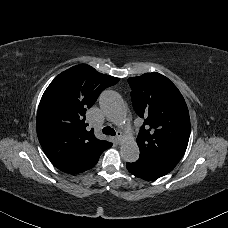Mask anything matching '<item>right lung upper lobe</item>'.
<instances>
[{
  "label": "right lung upper lobe",
  "instance_id": "right-lung-upper-lobe-1",
  "mask_svg": "<svg viewBox=\"0 0 228 228\" xmlns=\"http://www.w3.org/2000/svg\"><path fill=\"white\" fill-rule=\"evenodd\" d=\"M120 79L97 72L86 64L60 73L45 90L37 112V135L49 160L65 171L112 143L99 140L85 122L87 108L99 94Z\"/></svg>",
  "mask_w": 228,
  "mask_h": 228
}]
</instances>
